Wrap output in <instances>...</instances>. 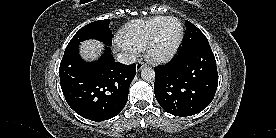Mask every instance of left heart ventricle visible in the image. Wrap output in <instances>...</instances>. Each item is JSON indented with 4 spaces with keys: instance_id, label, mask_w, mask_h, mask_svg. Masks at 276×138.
<instances>
[{
    "instance_id": "b2bd125f",
    "label": "left heart ventricle",
    "mask_w": 276,
    "mask_h": 138,
    "mask_svg": "<svg viewBox=\"0 0 276 138\" xmlns=\"http://www.w3.org/2000/svg\"><path fill=\"white\" fill-rule=\"evenodd\" d=\"M180 33V26L177 21H168L161 30L159 35L156 51L166 52L175 44Z\"/></svg>"
}]
</instances>
